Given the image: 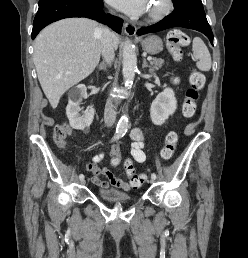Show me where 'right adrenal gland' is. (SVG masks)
I'll list each match as a JSON object with an SVG mask.
<instances>
[{
    "label": "right adrenal gland",
    "mask_w": 248,
    "mask_h": 258,
    "mask_svg": "<svg viewBox=\"0 0 248 258\" xmlns=\"http://www.w3.org/2000/svg\"><path fill=\"white\" fill-rule=\"evenodd\" d=\"M106 68H107V64H105L104 62H102V63H100L99 65H98V69L101 71V70H106Z\"/></svg>",
    "instance_id": "2a0ac1e0"
}]
</instances>
